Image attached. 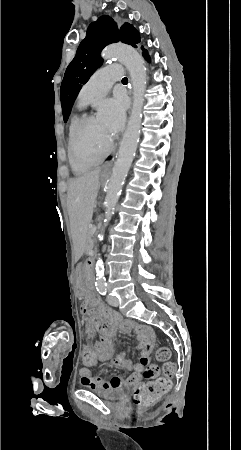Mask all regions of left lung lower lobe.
Wrapping results in <instances>:
<instances>
[{"label": "left lung lower lobe", "mask_w": 241, "mask_h": 450, "mask_svg": "<svg viewBox=\"0 0 241 450\" xmlns=\"http://www.w3.org/2000/svg\"><path fill=\"white\" fill-rule=\"evenodd\" d=\"M142 54H143L144 58H145L148 62H150V58H149V55L147 54V51L143 49V53H142Z\"/></svg>", "instance_id": "left-lung-lower-lobe-1"}]
</instances>
